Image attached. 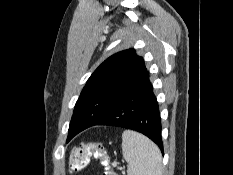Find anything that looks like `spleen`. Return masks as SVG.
Returning <instances> with one entry per match:
<instances>
[{
	"label": "spleen",
	"instance_id": "1",
	"mask_svg": "<svg viewBox=\"0 0 233 175\" xmlns=\"http://www.w3.org/2000/svg\"><path fill=\"white\" fill-rule=\"evenodd\" d=\"M122 154L127 162V175H162L159 148L146 136L125 130L122 134Z\"/></svg>",
	"mask_w": 233,
	"mask_h": 175
}]
</instances>
